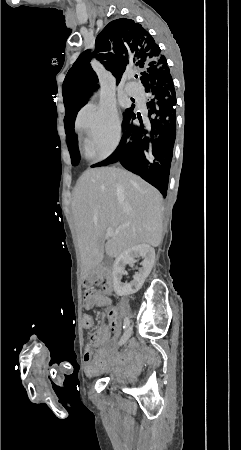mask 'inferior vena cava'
<instances>
[{
  "label": "inferior vena cava",
  "mask_w": 241,
  "mask_h": 450,
  "mask_svg": "<svg viewBox=\"0 0 241 450\" xmlns=\"http://www.w3.org/2000/svg\"><path fill=\"white\" fill-rule=\"evenodd\" d=\"M117 190H121L120 184H117Z\"/></svg>",
  "instance_id": "inferior-vena-cava-1"
}]
</instances>
